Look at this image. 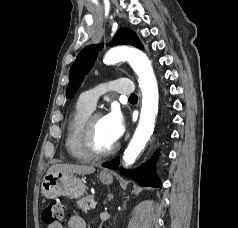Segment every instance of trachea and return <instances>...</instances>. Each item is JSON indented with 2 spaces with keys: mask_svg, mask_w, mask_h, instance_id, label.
I'll use <instances>...</instances> for the list:
<instances>
[{
  "mask_svg": "<svg viewBox=\"0 0 238 228\" xmlns=\"http://www.w3.org/2000/svg\"><path fill=\"white\" fill-rule=\"evenodd\" d=\"M137 98H138V97H137L136 94H132V95H130V97H129L130 100H134V99H137Z\"/></svg>",
  "mask_w": 238,
  "mask_h": 228,
  "instance_id": "obj_1",
  "label": "trachea"
}]
</instances>
